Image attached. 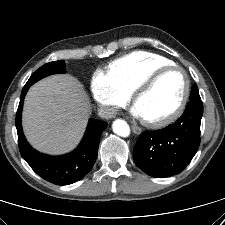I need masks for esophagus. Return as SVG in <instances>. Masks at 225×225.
Returning <instances> with one entry per match:
<instances>
[{
	"label": "esophagus",
	"instance_id": "esophagus-1",
	"mask_svg": "<svg viewBox=\"0 0 225 225\" xmlns=\"http://www.w3.org/2000/svg\"><path fill=\"white\" fill-rule=\"evenodd\" d=\"M132 131L135 133V134H140L142 132L141 128L136 126V125H133L132 126Z\"/></svg>",
	"mask_w": 225,
	"mask_h": 225
}]
</instances>
